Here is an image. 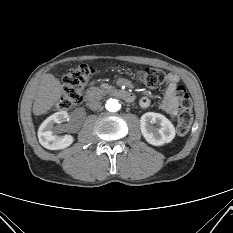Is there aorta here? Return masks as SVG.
<instances>
[{"mask_svg": "<svg viewBox=\"0 0 233 233\" xmlns=\"http://www.w3.org/2000/svg\"><path fill=\"white\" fill-rule=\"evenodd\" d=\"M105 107L110 112H116L120 110L121 104H119L118 100L110 98L107 100Z\"/></svg>", "mask_w": 233, "mask_h": 233, "instance_id": "1", "label": "aorta"}]
</instances>
